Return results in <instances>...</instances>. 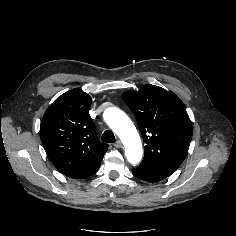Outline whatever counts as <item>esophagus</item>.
Masks as SVG:
<instances>
[{
  "instance_id": "esophagus-1",
  "label": "esophagus",
  "mask_w": 236,
  "mask_h": 236,
  "mask_svg": "<svg viewBox=\"0 0 236 236\" xmlns=\"http://www.w3.org/2000/svg\"><path fill=\"white\" fill-rule=\"evenodd\" d=\"M114 147L116 148H122L123 147V144L120 140L116 141V143L114 144Z\"/></svg>"
}]
</instances>
